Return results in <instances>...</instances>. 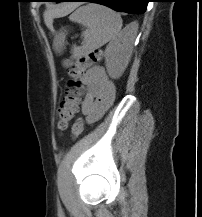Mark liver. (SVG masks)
I'll return each mask as SVG.
<instances>
[{
  "instance_id": "6515ba94",
  "label": "liver",
  "mask_w": 202,
  "mask_h": 217,
  "mask_svg": "<svg viewBox=\"0 0 202 217\" xmlns=\"http://www.w3.org/2000/svg\"><path fill=\"white\" fill-rule=\"evenodd\" d=\"M74 8H75V5L66 4V5H60V6L55 7L54 9L45 11L44 20H45L46 25L51 26L53 18L63 17L69 14Z\"/></svg>"
}]
</instances>
